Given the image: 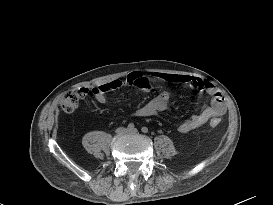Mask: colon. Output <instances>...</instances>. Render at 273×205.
Wrapping results in <instances>:
<instances>
[{
    "label": "colon",
    "mask_w": 273,
    "mask_h": 205,
    "mask_svg": "<svg viewBox=\"0 0 273 205\" xmlns=\"http://www.w3.org/2000/svg\"><path fill=\"white\" fill-rule=\"evenodd\" d=\"M87 90L84 88H75L69 91H66L61 99L60 106L64 112L70 113L75 111L80 103L87 97ZM220 120L218 118H213L210 121V125L213 128L218 127Z\"/></svg>",
    "instance_id": "5ec220e1"
}]
</instances>
